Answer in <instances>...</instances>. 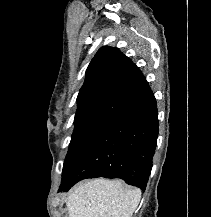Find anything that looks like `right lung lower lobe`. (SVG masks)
Here are the masks:
<instances>
[{"instance_id":"right-lung-lower-lobe-1","label":"right lung lower lobe","mask_w":211,"mask_h":217,"mask_svg":"<svg viewBox=\"0 0 211 217\" xmlns=\"http://www.w3.org/2000/svg\"><path fill=\"white\" fill-rule=\"evenodd\" d=\"M158 137L156 99L148 93L118 115L62 179L59 191L86 178H121L145 190Z\"/></svg>"}]
</instances>
